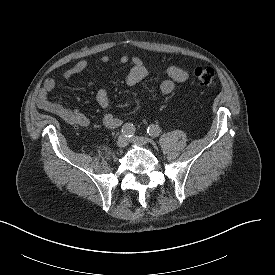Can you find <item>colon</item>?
Returning <instances> with one entry per match:
<instances>
[{"instance_id":"5ec220e1","label":"colon","mask_w":275,"mask_h":275,"mask_svg":"<svg viewBox=\"0 0 275 275\" xmlns=\"http://www.w3.org/2000/svg\"><path fill=\"white\" fill-rule=\"evenodd\" d=\"M195 77L204 87L212 88L215 85V71L210 67L196 68Z\"/></svg>"}]
</instances>
